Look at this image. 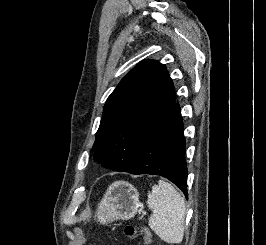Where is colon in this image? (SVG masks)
<instances>
[{
	"label": "colon",
	"mask_w": 266,
	"mask_h": 245,
	"mask_svg": "<svg viewBox=\"0 0 266 245\" xmlns=\"http://www.w3.org/2000/svg\"><path fill=\"white\" fill-rule=\"evenodd\" d=\"M124 234L128 238H133L138 234H141L144 238V244L150 245L152 242V236L151 233L147 229H139L136 226L133 225H127L124 229Z\"/></svg>",
	"instance_id": "colon-1"
}]
</instances>
